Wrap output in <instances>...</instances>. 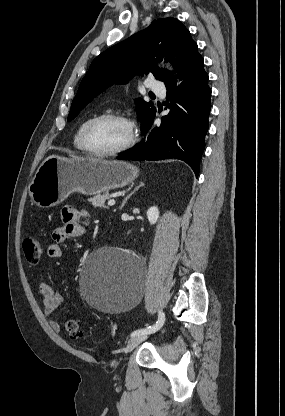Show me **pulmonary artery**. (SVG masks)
<instances>
[{"mask_svg":"<svg viewBox=\"0 0 285 416\" xmlns=\"http://www.w3.org/2000/svg\"><path fill=\"white\" fill-rule=\"evenodd\" d=\"M145 85L147 88L152 90L153 94H158L160 96H165L166 94V89L164 85L155 83L152 79H147L145 81Z\"/></svg>","mask_w":285,"mask_h":416,"instance_id":"pulmonary-artery-1","label":"pulmonary artery"}]
</instances>
